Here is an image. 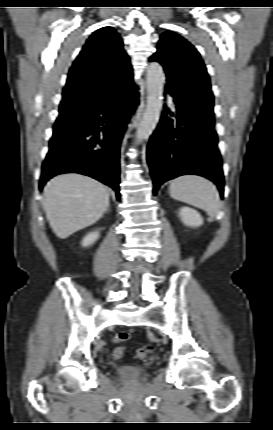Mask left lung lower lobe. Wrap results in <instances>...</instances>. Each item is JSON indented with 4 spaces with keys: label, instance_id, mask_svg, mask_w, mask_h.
Returning a JSON list of instances; mask_svg holds the SVG:
<instances>
[{
    "label": "left lung lower lobe",
    "instance_id": "left-lung-lower-lobe-1",
    "mask_svg": "<svg viewBox=\"0 0 273 430\" xmlns=\"http://www.w3.org/2000/svg\"><path fill=\"white\" fill-rule=\"evenodd\" d=\"M173 99L176 120L168 117V114H174L165 107L147 147L153 194L156 195L160 185L167 180L194 174L212 180L223 197L222 159L217 147L214 120L196 115Z\"/></svg>",
    "mask_w": 273,
    "mask_h": 430
}]
</instances>
